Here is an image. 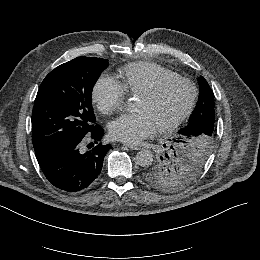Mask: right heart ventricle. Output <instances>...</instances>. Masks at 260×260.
I'll return each instance as SVG.
<instances>
[{
    "label": "right heart ventricle",
    "mask_w": 260,
    "mask_h": 260,
    "mask_svg": "<svg viewBox=\"0 0 260 260\" xmlns=\"http://www.w3.org/2000/svg\"><path fill=\"white\" fill-rule=\"evenodd\" d=\"M174 75L176 74L173 71L158 64L134 63L125 67L120 77L126 91L137 95L142 90L150 88L155 77L162 79Z\"/></svg>",
    "instance_id": "e07e8e85"
}]
</instances>
